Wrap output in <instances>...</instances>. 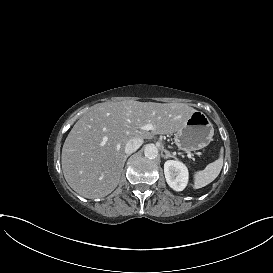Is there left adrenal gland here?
Returning a JSON list of instances; mask_svg holds the SVG:
<instances>
[{"label":"left adrenal gland","instance_id":"obj_1","mask_svg":"<svg viewBox=\"0 0 273 273\" xmlns=\"http://www.w3.org/2000/svg\"><path fill=\"white\" fill-rule=\"evenodd\" d=\"M163 152L165 153L164 158L172 157L174 159H177V157L172 153H170L167 149H163Z\"/></svg>","mask_w":273,"mask_h":273}]
</instances>
